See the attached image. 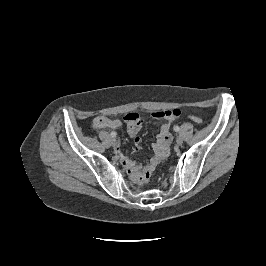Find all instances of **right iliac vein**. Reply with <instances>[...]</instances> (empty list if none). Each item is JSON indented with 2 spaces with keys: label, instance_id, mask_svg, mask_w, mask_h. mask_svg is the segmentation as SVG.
<instances>
[{
  "label": "right iliac vein",
  "instance_id": "63e3f726",
  "mask_svg": "<svg viewBox=\"0 0 266 266\" xmlns=\"http://www.w3.org/2000/svg\"><path fill=\"white\" fill-rule=\"evenodd\" d=\"M111 143H112L113 146H116V145L118 144V141H117L116 138H113V139L111 140Z\"/></svg>",
  "mask_w": 266,
  "mask_h": 266
}]
</instances>
